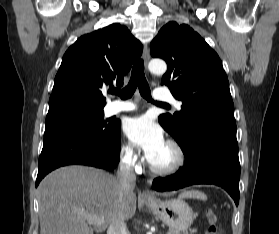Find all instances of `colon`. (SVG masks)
I'll list each match as a JSON object with an SVG mask.
<instances>
[{
	"label": "colon",
	"instance_id": "5ec220e1",
	"mask_svg": "<svg viewBox=\"0 0 279 234\" xmlns=\"http://www.w3.org/2000/svg\"><path fill=\"white\" fill-rule=\"evenodd\" d=\"M218 227L212 221L207 229V234H218Z\"/></svg>",
	"mask_w": 279,
	"mask_h": 234
}]
</instances>
